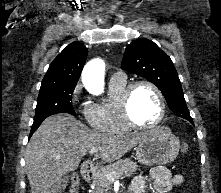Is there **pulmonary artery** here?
<instances>
[{"label": "pulmonary artery", "mask_w": 221, "mask_h": 193, "mask_svg": "<svg viewBox=\"0 0 221 193\" xmlns=\"http://www.w3.org/2000/svg\"><path fill=\"white\" fill-rule=\"evenodd\" d=\"M113 78H118V79H123L126 78V75L124 72L122 71H117L114 75Z\"/></svg>", "instance_id": "pulmonary-artery-1"}]
</instances>
